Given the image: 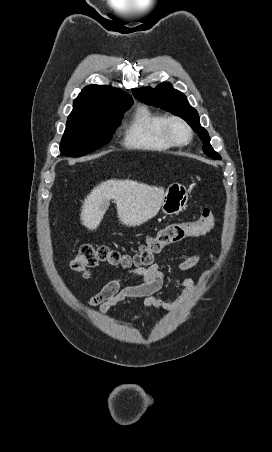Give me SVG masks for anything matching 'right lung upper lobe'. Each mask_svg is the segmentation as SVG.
Instances as JSON below:
<instances>
[{"label": "right lung upper lobe", "instance_id": "obj_1", "mask_svg": "<svg viewBox=\"0 0 272 452\" xmlns=\"http://www.w3.org/2000/svg\"><path fill=\"white\" fill-rule=\"evenodd\" d=\"M130 103H133L132 97L118 88L88 85L74 100L73 111L68 120L91 117L105 109Z\"/></svg>", "mask_w": 272, "mask_h": 452}]
</instances>
